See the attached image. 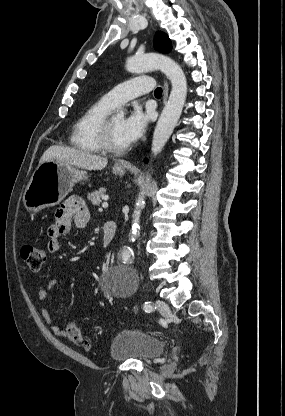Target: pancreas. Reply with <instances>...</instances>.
Segmentation results:
<instances>
[{"label":"pancreas","instance_id":"pancreas-1","mask_svg":"<svg viewBox=\"0 0 285 416\" xmlns=\"http://www.w3.org/2000/svg\"><path fill=\"white\" fill-rule=\"evenodd\" d=\"M105 192L106 190H104V188H100V190H96V192H90L87 198L92 202L93 206H99L103 196H106Z\"/></svg>","mask_w":285,"mask_h":416}]
</instances>
